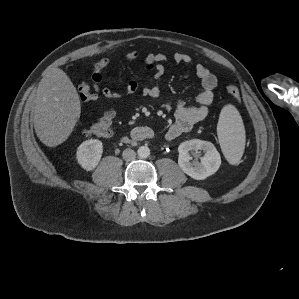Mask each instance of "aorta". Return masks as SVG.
I'll list each match as a JSON object with an SVG mask.
<instances>
[{
    "label": "aorta",
    "instance_id": "762f6f07",
    "mask_svg": "<svg viewBox=\"0 0 299 299\" xmlns=\"http://www.w3.org/2000/svg\"><path fill=\"white\" fill-rule=\"evenodd\" d=\"M137 153L140 158H147L150 155V149L148 146H140Z\"/></svg>",
    "mask_w": 299,
    "mask_h": 299
}]
</instances>
